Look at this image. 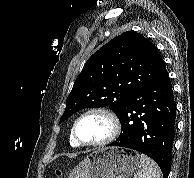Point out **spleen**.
Instances as JSON below:
<instances>
[{
  "label": "spleen",
  "mask_w": 194,
  "mask_h": 178,
  "mask_svg": "<svg viewBox=\"0 0 194 178\" xmlns=\"http://www.w3.org/2000/svg\"><path fill=\"white\" fill-rule=\"evenodd\" d=\"M134 178H161L158 165L148 156L140 155V168Z\"/></svg>",
  "instance_id": "spleen-1"
}]
</instances>
